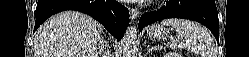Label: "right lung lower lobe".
<instances>
[{
  "label": "right lung lower lobe",
  "instance_id": "obj_1",
  "mask_svg": "<svg viewBox=\"0 0 249 57\" xmlns=\"http://www.w3.org/2000/svg\"><path fill=\"white\" fill-rule=\"evenodd\" d=\"M65 10L86 13L100 22L117 40L129 25V11L114 0H38L34 31L50 16Z\"/></svg>",
  "mask_w": 249,
  "mask_h": 57
}]
</instances>
